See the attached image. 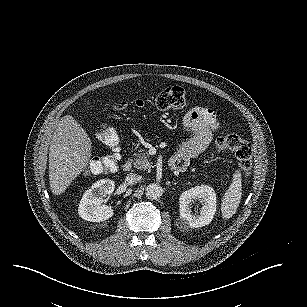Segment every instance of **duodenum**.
<instances>
[{
	"mask_svg": "<svg viewBox=\"0 0 307 307\" xmlns=\"http://www.w3.org/2000/svg\"><path fill=\"white\" fill-rule=\"evenodd\" d=\"M170 168L172 170H179V168L172 162H170ZM132 169V162L130 160H126L122 165L123 172H129Z\"/></svg>",
	"mask_w": 307,
	"mask_h": 307,
	"instance_id": "duodenum-1",
	"label": "duodenum"
}]
</instances>
